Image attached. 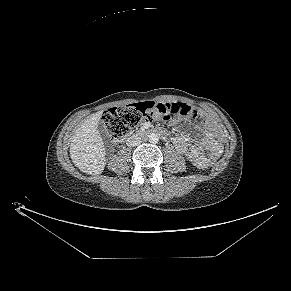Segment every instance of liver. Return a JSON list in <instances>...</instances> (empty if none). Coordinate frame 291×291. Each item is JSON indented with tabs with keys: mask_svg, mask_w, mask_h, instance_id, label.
<instances>
[{
	"mask_svg": "<svg viewBox=\"0 0 291 291\" xmlns=\"http://www.w3.org/2000/svg\"><path fill=\"white\" fill-rule=\"evenodd\" d=\"M102 111L96 112L76 130L70 144L73 164L82 172L101 174L105 167V148L98 131Z\"/></svg>",
	"mask_w": 291,
	"mask_h": 291,
	"instance_id": "1",
	"label": "liver"
}]
</instances>
